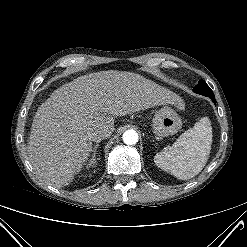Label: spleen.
<instances>
[{
	"label": "spleen",
	"instance_id": "1",
	"mask_svg": "<svg viewBox=\"0 0 247 247\" xmlns=\"http://www.w3.org/2000/svg\"><path fill=\"white\" fill-rule=\"evenodd\" d=\"M212 126L208 117L201 118L169 147L157 153L155 164L181 180H188L204 168L211 151Z\"/></svg>",
	"mask_w": 247,
	"mask_h": 247
}]
</instances>
